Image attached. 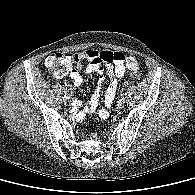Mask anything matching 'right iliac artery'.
Masks as SVG:
<instances>
[{
  "instance_id": "obj_1",
  "label": "right iliac artery",
  "mask_w": 195,
  "mask_h": 195,
  "mask_svg": "<svg viewBox=\"0 0 195 195\" xmlns=\"http://www.w3.org/2000/svg\"><path fill=\"white\" fill-rule=\"evenodd\" d=\"M64 92H65V93H67V92H68V90H67V89H65V90H64Z\"/></svg>"
}]
</instances>
